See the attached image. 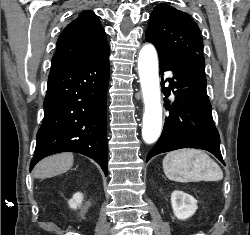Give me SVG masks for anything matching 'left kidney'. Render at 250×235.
<instances>
[{"label": "left kidney", "instance_id": "obj_1", "mask_svg": "<svg viewBox=\"0 0 250 235\" xmlns=\"http://www.w3.org/2000/svg\"><path fill=\"white\" fill-rule=\"evenodd\" d=\"M171 205L175 217L185 220L191 217L198 209L197 200L180 190H175L171 194Z\"/></svg>", "mask_w": 250, "mask_h": 235}]
</instances>
